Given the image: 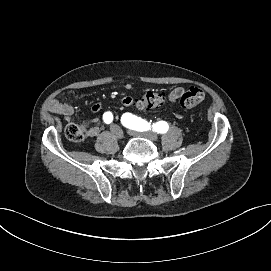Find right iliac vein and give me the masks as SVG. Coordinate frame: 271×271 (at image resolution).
Wrapping results in <instances>:
<instances>
[{
	"mask_svg": "<svg viewBox=\"0 0 271 271\" xmlns=\"http://www.w3.org/2000/svg\"><path fill=\"white\" fill-rule=\"evenodd\" d=\"M111 132L114 135V137H116L117 139H122L124 137V132L117 125H114L111 127Z\"/></svg>",
	"mask_w": 271,
	"mask_h": 271,
	"instance_id": "obj_1",
	"label": "right iliac vein"
}]
</instances>
